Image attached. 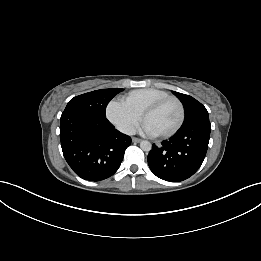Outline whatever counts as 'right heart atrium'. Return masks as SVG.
I'll return each instance as SVG.
<instances>
[{
    "label": "right heart atrium",
    "instance_id": "d8ad5b80",
    "mask_svg": "<svg viewBox=\"0 0 261 261\" xmlns=\"http://www.w3.org/2000/svg\"><path fill=\"white\" fill-rule=\"evenodd\" d=\"M106 116L119 131L125 134H131L140 121V114L119 99L109 102L106 108Z\"/></svg>",
    "mask_w": 261,
    "mask_h": 261
}]
</instances>
